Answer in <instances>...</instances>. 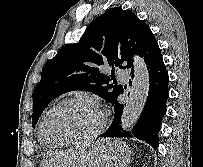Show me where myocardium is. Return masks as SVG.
<instances>
[{"instance_id":"myocardium-1","label":"myocardium","mask_w":203,"mask_h":167,"mask_svg":"<svg viewBox=\"0 0 203 167\" xmlns=\"http://www.w3.org/2000/svg\"><path fill=\"white\" fill-rule=\"evenodd\" d=\"M75 102H81L84 104L89 105L90 107H92L99 115L100 117V124L99 126L90 134L81 137V138H77V139H71V140H63V141H56V140H51L50 138H48V136L45 133V122L47 120V118L56 110H58L59 108L63 107L64 105L70 104V103H75ZM106 116L103 113V111L98 107V105L91 100L89 97L85 96V95H75L72 97H68L65 98L63 100H61L60 102H58L56 105H54L53 107H51L42 117L40 124H39V134L41 139L47 143V144H51L54 146H68V145H74V144H80V143H86L89 141H92L94 139H96L104 130L105 126H106Z\"/></svg>"}]
</instances>
